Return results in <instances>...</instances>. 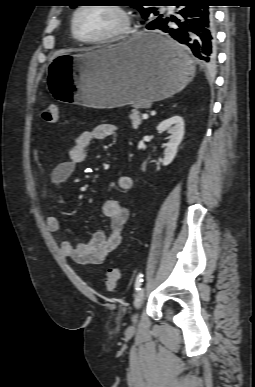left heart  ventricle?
<instances>
[{"instance_id": "obj_1", "label": "left heart ventricle", "mask_w": 255, "mask_h": 387, "mask_svg": "<svg viewBox=\"0 0 255 387\" xmlns=\"http://www.w3.org/2000/svg\"><path fill=\"white\" fill-rule=\"evenodd\" d=\"M121 24L119 15L106 7L92 6L84 9L77 17L79 34L88 39L106 36Z\"/></svg>"}]
</instances>
